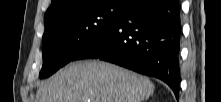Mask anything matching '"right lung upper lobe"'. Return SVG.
I'll return each instance as SVG.
<instances>
[{
	"label": "right lung upper lobe",
	"mask_w": 221,
	"mask_h": 102,
	"mask_svg": "<svg viewBox=\"0 0 221 102\" xmlns=\"http://www.w3.org/2000/svg\"><path fill=\"white\" fill-rule=\"evenodd\" d=\"M84 0H52L50 7L45 13V20L49 19L53 15L57 14L60 11H63L69 7H71L73 4L81 2ZM132 3L135 0H130Z\"/></svg>",
	"instance_id": "obj_1"
}]
</instances>
